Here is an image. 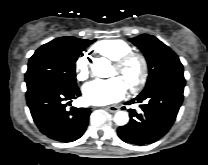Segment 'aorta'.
Wrapping results in <instances>:
<instances>
[{
    "label": "aorta",
    "instance_id": "aorta-1",
    "mask_svg": "<svg viewBox=\"0 0 208 165\" xmlns=\"http://www.w3.org/2000/svg\"><path fill=\"white\" fill-rule=\"evenodd\" d=\"M109 61L105 58H96L93 61L91 70L93 74L97 77H106V72L109 69ZM114 121L116 124L123 126L126 125L129 121L128 113L125 111H118L114 116Z\"/></svg>",
    "mask_w": 208,
    "mask_h": 165
}]
</instances>
